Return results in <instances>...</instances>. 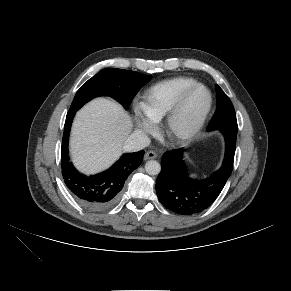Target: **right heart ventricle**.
I'll list each match as a JSON object with an SVG mask.
<instances>
[{
	"label": "right heart ventricle",
	"mask_w": 291,
	"mask_h": 291,
	"mask_svg": "<svg viewBox=\"0 0 291 291\" xmlns=\"http://www.w3.org/2000/svg\"><path fill=\"white\" fill-rule=\"evenodd\" d=\"M197 83L198 81L192 77L180 76L152 85L143 95L142 111L153 122H160L180 95Z\"/></svg>",
	"instance_id": "e07e8e85"
}]
</instances>
